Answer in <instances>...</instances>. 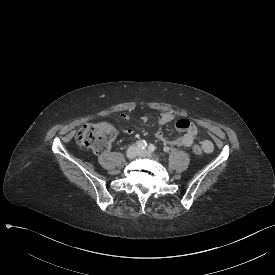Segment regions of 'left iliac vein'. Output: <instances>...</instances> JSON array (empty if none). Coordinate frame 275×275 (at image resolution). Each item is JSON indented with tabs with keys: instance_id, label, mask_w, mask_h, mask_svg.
I'll use <instances>...</instances> for the list:
<instances>
[{
	"instance_id": "left-iliac-vein-1",
	"label": "left iliac vein",
	"mask_w": 275,
	"mask_h": 275,
	"mask_svg": "<svg viewBox=\"0 0 275 275\" xmlns=\"http://www.w3.org/2000/svg\"><path fill=\"white\" fill-rule=\"evenodd\" d=\"M139 155H141V156H148L149 155V151H147V150H140Z\"/></svg>"
}]
</instances>
